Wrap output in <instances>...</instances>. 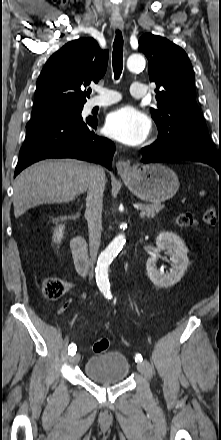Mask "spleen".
<instances>
[{"mask_svg": "<svg viewBox=\"0 0 221 440\" xmlns=\"http://www.w3.org/2000/svg\"><path fill=\"white\" fill-rule=\"evenodd\" d=\"M200 195H201V196L205 195V191H201V192H200Z\"/></svg>", "mask_w": 221, "mask_h": 440, "instance_id": "spleen-1", "label": "spleen"}]
</instances>
